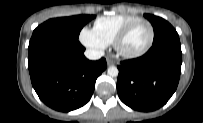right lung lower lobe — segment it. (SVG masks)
Listing matches in <instances>:
<instances>
[{"label":"right lung lower lobe","instance_id":"right-lung-lower-lobe-1","mask_svg":"<svg viewBox=\"0 0 203 123\" xmlns=\"http://www.w3.org/2000/svg\"><path fill=\"white\" fill-rule=\"evenodd\" d=\"M77 40L52 34H33L28 47L32 86L50 108L68 112L91 98L97 77L106 69L104 58L88 60Z\"/></svg>","mask_w":203,"mask_h":123}]
</instances>
